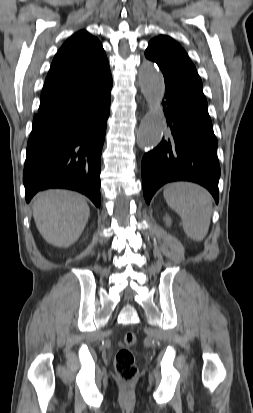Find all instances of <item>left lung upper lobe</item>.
<instances>
[{"label":"left lung upper lobe","instance_id":"1","mask_svg":"<svg viewBox=\"0 0 253 413\" xmlns=\"http://www.w3.org/2000/svg\"><path fill=\"white\" fill-rule=\"evenodd\" d=\"M145 56L157 63L163 73L186 76L202 83L185 50L169 36L153 38Z\"/></svg>","mask_w":253,"mask_h":413}]
</instances>
